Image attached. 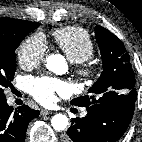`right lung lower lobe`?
<instances>
[{"label": "right lung lower lobe", "mask_w": 142, "mask_h": 142, "mask_svg": "<svg viewBox=\"0 0 142 142\" xmlns=\"http://www.w3.org/2000/svg\"><path fill=\"white\" fill-rule=\"evenodd\" d=\"M37 116L39 111L27 105L13 111L6 97H0V142H24L28 124Z\"/></svg>", "instance_id": "1"}]
</instances>
